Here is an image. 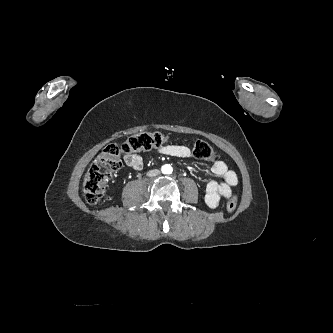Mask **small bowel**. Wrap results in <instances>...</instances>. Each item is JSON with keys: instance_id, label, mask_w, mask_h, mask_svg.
<instances>
[{"instance_id": "c3829d8e", "label": "small bowel", "mask_w": 333, "mask_h": 333, "mask_svg": "<svg viewBox=\"0 0 333 333\" xmlns=\"http://www.w3.org/2000/svg\"><path fill=\"white\" fill-rule=\"evenodd\" d=\"M159 152L163 155L189 158L191 150L183 145H165L160 148ZM125 163L133 170L143 168V159L138 154H127L124 157ZM211 173L220 178L221 181L212 180L208 182L205 193V203L210 208L218 207L221 198H227L231 195V190L238 183L237 174L228 168L222 160H216L211 165Z\"/></svg>"}]
</instances>
